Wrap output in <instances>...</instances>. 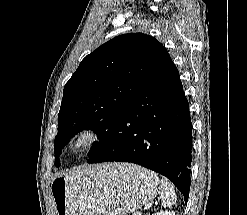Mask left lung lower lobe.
I'll use <instances>...</instances> for the list:
<instances>
[{
    "mask_svg": "<svg viewBox=\"0 0 247 215\" xmlns=\"http://www.w3.org/2000/svg\"><path fill=\"white\" fill-rule=\"evenodd\" d=\"M189 104L169 54L107 135L88 163L131 162L166 176L188 201L192 165Z\"/></svg>",
    "mask_w": 247,
    "mask_h": 215,
    "instance_id": "obj_1",
    "label": "left lung lower lobe"
}]
</instances>
